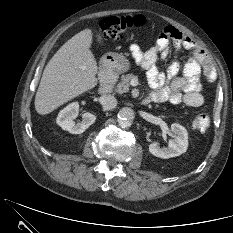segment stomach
Masks as SVG:
<instances>
[{
	"label": "stomach",
	"instance_id": "0dacf381",
	"mask_svg": "<svg viewBox=\"0 0 233 233\" xmlns=\"http://www.w3.org/2000/svg\"><path fill=\"white\" fill-rule=\"evenodd\" d=\"M112 57V68L118 72H124L127 71L129 69V63L127 61V59H125L121 54H111Z\"/></svg>",
	"mask_w": 233,
	"mask_h": 233
}]
</instances>
